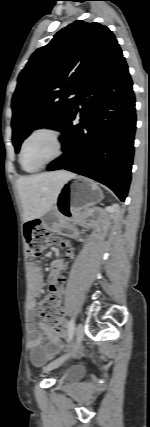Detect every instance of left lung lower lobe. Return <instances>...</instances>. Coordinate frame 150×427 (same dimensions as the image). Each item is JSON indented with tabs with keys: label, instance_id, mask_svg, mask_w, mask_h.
Returning a JSON list of instances; mask_svg holds the SVG:
<instances>
[{
	"label": "left lung lower lobe",
	"instance_id": "1",
	"mask_svg": "<svg viewBox=\"0 0 150 427\" xmlns=\"http://www.w3.org/2000/svg\"><path fill=\"white\" fill-rule=\"evenodd\" d=\"M78 114L80 123L75 124ZM135 129L132 80L119 47L81 89L59 129L64 153L47 170L66 169L94 179L124 201L131 181Z\"/></svg>",
	"mask_w": 150,
	"mask_h": 427
}]
</instances>
